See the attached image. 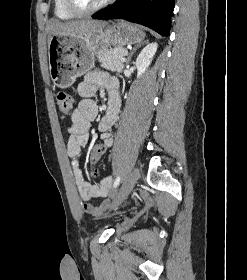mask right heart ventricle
Masks as SVG:
<instances>
[{"label":"right heart ventricle","mask_w":247,"mask_h":280,"mask_svg":"<svg viewBox=\"0 0 247 280\" xmlns=\"http://www.w3.org/2000/svg\"><path fill=\"white\" fill-rule=\"evenodd\" d=\"M54 14L61 20H70L76 16L67 9L65 0H54Z\"/></svg>","instance_id":"1"}]
</instances>
